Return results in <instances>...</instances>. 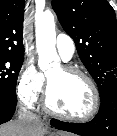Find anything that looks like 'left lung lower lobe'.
Listing matches in <instances>:
<instances>
[{"instance_id":"0a47b994","label":"left lung lower lobe","mask_w":117,"mask_h":136,"mask_svg":"<svg viewBox=\"0 0 117 136\" xmlns=\"http://www.w3.org/2000/svg\"><path fill=\"white\" fill-rule=\"evenodd\" d=\"M100 100L99 112L90 122L76 124L52 120L51 125L82 136H117V88Z\"/></svg>"}]
</instances>
